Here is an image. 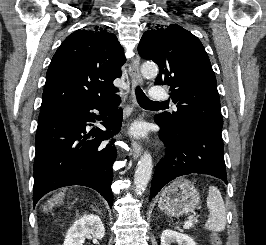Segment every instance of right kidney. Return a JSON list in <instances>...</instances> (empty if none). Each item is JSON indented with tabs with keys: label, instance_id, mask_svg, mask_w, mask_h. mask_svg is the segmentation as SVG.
I'll return each mask as SVG.
<instances>
[{
	"label": "right kidney",
	"instance_id": "right-kidney-1",
	"mask_svg": "<svg viewBox=\"0 0 266 245\" xmlns=\"http://www.w3.org/2000/svg\"><path fill=\"white\" fill-rule=\"evenodd\" d=\"M95 237V239H103L105 229L100 217L97 215H84L67 231L64 245H83L86 237Z\"/></svg>",
	"mask_w": 266,
	"mask_h": 245
}]
</instances>
